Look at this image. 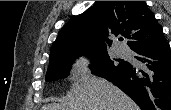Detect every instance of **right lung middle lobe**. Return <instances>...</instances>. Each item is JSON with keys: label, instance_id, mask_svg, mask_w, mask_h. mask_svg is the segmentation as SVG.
Listing matches in <instances>:
<instances>
[{"label": "right lung middle lobe", "instance_id": "1", "mask_svg": "<svg viewBox=\"0 0 171 110\" xmlns=\"http://www.w3.org/2000/svg\"><path fill=\"white\" fill-rule=\"evenodd\" d=\"M82 55L88 56L92 59L93 62L91 64V69L93 70V73L98 76H104L105 74L114 71L128 63L123 60H117L121 62L115 63L113 60L110 59L106 50H97L78 53L74 55L58 56L49 61V67L45 76V80L53 81L67 77L69 75L72 62L78 56Z\"/></svg>", "mask_w": 171, "mask_h": 110}]
</instances>
